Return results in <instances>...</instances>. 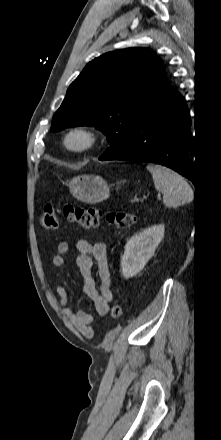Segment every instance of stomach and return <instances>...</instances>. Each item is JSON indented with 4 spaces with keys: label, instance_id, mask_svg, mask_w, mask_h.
<instances>
[{
    "label": "stomach",
    "instance_id": "obj_1",
    "mask_svg": "<svg viewBox=\"0 0 221 440\" xmlns=\"http://www.w3.org/2000/svg\"><path fill=\"white\" fill-rule=\"evenodd\" d=\"M71 194L78 200L87 203H98L110 195L107 182L98 175H80L68 181Z\"/></svg>",
    "mask_w": 221,
    "mask_h": 440
}]
</instances>
